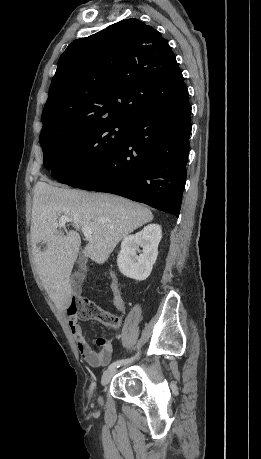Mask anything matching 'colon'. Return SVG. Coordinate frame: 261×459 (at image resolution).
I'll list each match as a JSON object with an SVG mask.
<instances>
[{
	"label": "colon",
	"mask_w": 261,
	"mask_h": 459,
	"mask_svg": "<svg viewBox=\"0 0 261 459\" xmlns=\"http://www.w3.org/2000/svg\"><path fill=\"white\" fill-rule=\"evenodd\" d=\"M69 316H78L83 320L94 319L109 328H117L120 325V318L101 308L87 297H78L66 310Z\"/></svg>",
	"instance_id": "colon-1"
}]
</instances>
